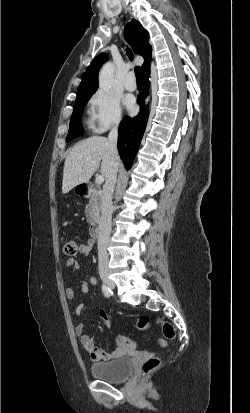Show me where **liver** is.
Returning a JSON list of instances; mask_svg holds the SVG:
<instances>
[{
	"label": "liver",
	"mask_w": 250,
	"mask_h": 413,
	"mask_svg": "<svg viewBox=\"0 0 250 413\" xmlns=\"http://www.w3.org/2000/svg\"><path fill=\"white\" fill-rule=\"evenodd\" d=\"M100 162L101 173L107 179L112 168L107 138L92 136L76 144L64 163L62 193L66 194L75 186L88 182ZM117 162L119 167L120 160Z\"/></svg>",
	"instance_id": "obj_1"
}]
</instances>
